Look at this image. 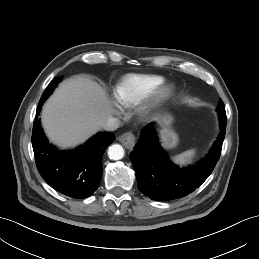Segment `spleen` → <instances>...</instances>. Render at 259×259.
I'll use <instances>...</instances> for the list:
<instances>
[{"label":"spleen","mask_w":259,"mask_h":259,"mask_svg":"<svg viewBox=\"0 0 259 259\" xmlns=\"http://www.w3.org/2000/svg\"><path fill=\"white\" fill-rule=\"evenodd\" d=\"M196 150L195 149H190L187 150L179 155H176L172 158V160L176 164H181L185 165L191 162V159L195 156Z\"/></svg>","instance_id":"obj_1"}]
</instances>
